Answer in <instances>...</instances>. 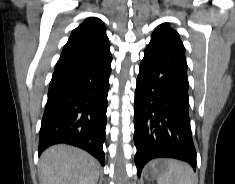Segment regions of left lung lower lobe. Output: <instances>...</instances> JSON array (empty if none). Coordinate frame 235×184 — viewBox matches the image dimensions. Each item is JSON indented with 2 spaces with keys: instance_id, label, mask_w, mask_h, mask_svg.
<instances>
[{
  "instance_id": "1",
  "label": "left lung lower lobe",
  "mask_w": 235,
  "mask_h": 184,
  "mask_svg": "<svg viewBox=\"0 0 235 184\" xmlns=\"http://www.w3.org/2000/svg\"><path fill=\"white\" fill-rule=\"evenodd\" d=\"M185 53L178 44L152 39L140 64L134 102L135 164L167 157L188 162L195 170Z\"/></svg>"
}]
</instances>
